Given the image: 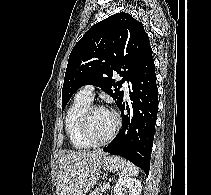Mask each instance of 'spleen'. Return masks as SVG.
I'll list each match as a JSON object with an SVG mask.
<instances>
[{
  "label": "spleen",
  "instance_id": "obj_1",
  "mask_svg": "<svg viewBox=\"0 0 211 195\" xmlns=\"http://www.w3.org/2000/svg\"><path fill=\"white\" fill-rule=\"evenodd\" d=\"M139 173L138 168L130 162H127L125 169L122 172L123 176H137Z\"/></svg>",
  "mask_w": 211,
  "mask_h": 195
}]
</instances>
